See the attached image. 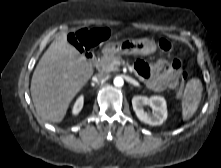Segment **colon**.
Returning <instances> with one entry per match:
<instances>
[{"label": "colon", "mask_w": 221, "mask_h": 168, "mask_svg": "<svg viewBox=\"0 0 221 168\" xmlns=\"http://www.w3.org/2000/svg\"><path fill=\"white\" fill-rule=\"evenodd\" d=\"M109 36L107 29H83L78 32L72 33L70 35V43L80 50H88L94 45L101 41H104ZM159 47L163 51H170L172 48L171 43L166 39H161L159 41ZM188 72L184 71L180 79V87H178V92H175V97H180L183 95L185 89L186 80L188 79Z\"/></svg>", "instance_id": "5ec220e1"}]
</instances>
